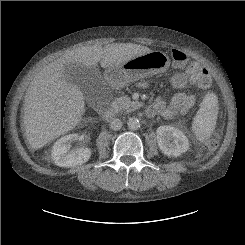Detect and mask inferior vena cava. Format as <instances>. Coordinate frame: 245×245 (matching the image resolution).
<instances>
[{
  "label": "inferior vena cava",
  "instance_id": "obj_1",
  "mask_svg": "<svg viewBox=\"0 0 245 245\" xmlns=\"http://www.w3.org/2000/svg\"><path fill=\"white\" fill-rule=\"evenodd\" d=\"M122 121L120 119H113L110 123V128L112 130H120L122 127Z\"/></svg>",
  "mask_w": 245,
  "mask_h": 245
}]
</instances>
